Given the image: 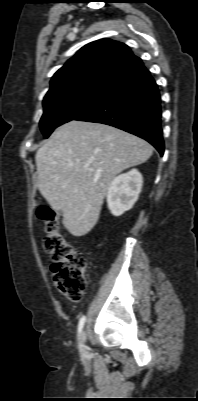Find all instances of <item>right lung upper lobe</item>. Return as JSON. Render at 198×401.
Wrapping results in <instances>:
<instances>
[{"instance_id": "1", "label": "right lung upper lobe", "mask_w": 198, "mask_h": 401, "mask_svg": "<svg viewBox=\"0 0 198 401\" xmlns=\"http://www.w3.org/2000/svg\"><path fill=\"white\" fill-rule=\"evenodd\" d=\"M142 65L125 44L110 39L91 42L54 74L45 98L86 86L109 88Z\"/></svg>"}]
</instances>
